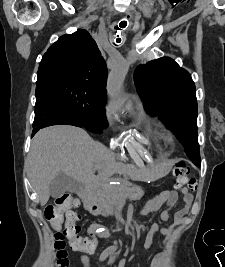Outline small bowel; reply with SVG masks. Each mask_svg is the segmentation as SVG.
Returning a JSON list of instances; mask_svg holds the SVG:
<instances>
[{"label": "small bowel", "instance_id": "c3829d8e", "mask_svg": "<svg viewBox=\"0 0 225 267\" xmlns=\"http://www.w3.org/2000/svg\"><path fill=\"white\" fill-rule=\"evenodd\" d=\"M182 196L183 201V207L180 209H177L174 214V221L179 224L182 222L184 216L188 213L189 209L191 208L192 202H193V195L189 192V190L185 187L183 188H177L176 190L171 191H164L160 194H158L153 199L149 200L145 206L143 207L141 213L143 215H147L152 212H156L160 210L162 207L164 208L163 211L160 214V218L163 222H168L170 218V213L174 209V205L178 199V195ZM98 226L92 225L90 226L88 232H89V239L94 245V248L91 252H85L87 255H91L95 252L96 249V242L98 239L97 233ZM161 232L164 236H169L171 234L170 229L166 227H161L158 223L153 222L146 234V237L143 242V249H148L152 245L153 237L155 233ZM84 252V251H83ZM87 255H83L81 257V262L85 267H88L89 265V258ZM164 259V253L160 252L155 255V257L152 260V266L151 267H162V262ZM125 266V260L122 259L119 261L117 267H124Z\"/></svg>", "mask_w": 225, "mask_h": 267}]
</instances>
